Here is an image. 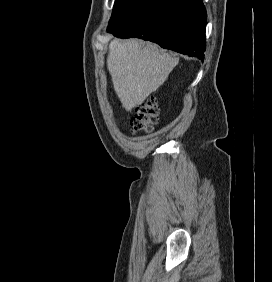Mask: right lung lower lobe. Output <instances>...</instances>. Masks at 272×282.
Wrapping results in <instances>:
<instances>
[{"instance_id": "1", "label": "right lung lower lobe", "mask_w": 272, "mask_h": 282, "mask_svg": "<svg viewBox=\"0 0 272 282\" xmlns=\"http://www.w3.org/2000/svg\"><path fill=\"white\" fill-rule=\"evenodd\" d=\"M206 10L201 0H138L107 31L137 37L203 60Z\"/></svg>"}]
</instances>
